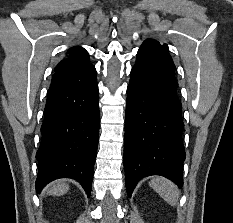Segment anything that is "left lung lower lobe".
<instances>
[{
  "label": "left lung lower lobe",
  "mask_w": 233,
  "mask_h": 223,
  "mask_svg": "<svg viewBox=\"0 0 233 223\" xmlns=\"http://www.w3.org/2000/svg\"><path fill=\"white\" fill-rule=\"evenodd\" d=\"M175 69L166 45L151 39L142 44L127 88L124 169L129 197L150 175L183 186L184 124Z\"/></svg>",
  "instance_id": "1"
}]
</instances>
